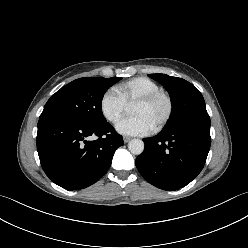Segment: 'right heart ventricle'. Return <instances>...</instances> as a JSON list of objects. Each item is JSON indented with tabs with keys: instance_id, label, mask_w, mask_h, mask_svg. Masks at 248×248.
<instances>
[{
	"instance_id": "1",
	"label": "right heart ventricle",
	"mask_w": 248,
	"mask_h": 248,
	"mask_svg": "<svg viewBox=\"0 0 248 248\" xmlns=\"http://www.w3.org/2000/svg\"><path fill=\"white\" fill-rule=\"evenodd\" d=\"M158 90H160V86L147 77H136L115 87V91L127 105Z\"/></svg>"
}]
</instances>
